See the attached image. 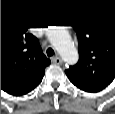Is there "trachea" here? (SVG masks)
Wrapping results in <instances>:
<instances>
[{
	"label": "trachea",
	"mask_w": 115,
	"mask_h": 114,
	"mask_svg": "<svg viewBox=\"0 0 115 114\" xmlns=\"http://www.w3.org/2000/svg\"><path fill=\"white\" fill-rule=\"evenodd\" d=\"M55 54L54 50L52 48H48L47 49V55L50 57V56H53Z\"/></svg>",
	"instance_id": "1"
}]
</instances>
